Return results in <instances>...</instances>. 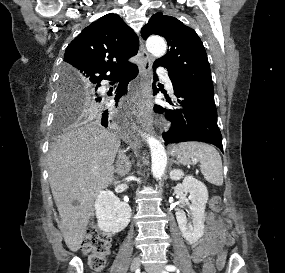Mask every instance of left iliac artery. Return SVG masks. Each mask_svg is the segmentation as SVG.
I'll return each mask as SVG.
<instances>
[{"mask_svg":"<svg viewBox=\"0 0 285 273\" xmlns=\"http://www.w3.org/2000/svg\"><path fill=\"white\" fill-rule=\"evenodd\" d=\"M165 269H166L167 271L173 272V271H175L177 268H176V266H174V265H167V266H165ZM163 273H168V272H163Z\"/></svg>","mask_w":285,"mask_h":273,"instance_id":"1","label":"left iliac artery"}]
</instances>
